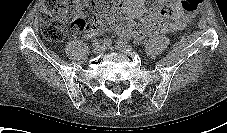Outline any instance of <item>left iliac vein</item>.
I'll return each mask as SVG.
<instances>
[{"label": "left iliac vein", "instance_id": "4c4485c4", "mask_svg": "<svg viewBox=\"0 0 227 133\" xmlns=\"http://www.w3.org/2000/svg\"><path fill=\"white\" fill-rule=\"evenodd\" d=\"M116 50L118 51H125V50H133L132 46L127 43H118L116 45Z\"/></svg>", "mask_w": 227, "mask_h": 133}]
</instances>
